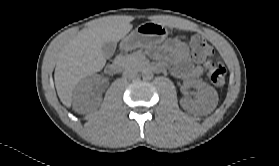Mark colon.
<instances>
[{"mask_svg": "<svg viewBox=\"0 0 279 166\" xmlns=\"http://www.w3.org/2000/svg\"><path fill=\"white\" fill-rule=\"evenodd\" d=\"M191 47L196 60L203 61L209 80L216 86H222L226 78V69L218 59H206L212 54V49L199 36L191 39Z\"/></svg>", "mask_w": 279, "mask_h": 166, "instance_id": "1", "label": "colon"}]
</instances>
